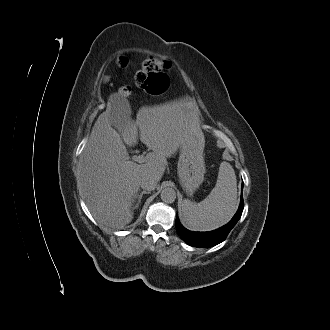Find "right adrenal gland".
<instances>
[{
    "instance_id": "obj_1",
    "label": "right adrenal gland",
    "mask_w": 330,
    "mask_h": 330,
    "mask_svg": "<svg viewBox=\"0 0 330 330\" xmlns=\"http://www.w3.org/2000/svg\"><path fill=\"white\" fill-rule=\"evenodd\" d=\"M149 193H150L149 191H142L140 194L135 195L133 202H135L136 199H137V202H136L135 206L133 207V209L138 208L141 203V199H142L143 195L149 194Z\"/></svg>"
}]
</instances>
